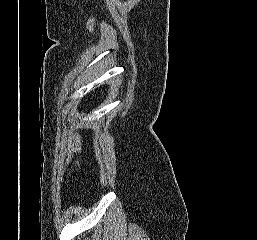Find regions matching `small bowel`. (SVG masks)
<instances>
[{"label":"small bowel","instance_id":"obj_1","mask_svg":"<svg viewBox=\"0 0 257 240\" xmlns=\"http://www.w3.org/2000/svg\"><path fill=\"white\" fill-rule=\"evenodd\" d=\"M72 147L75 152H79L81 150V143L78 138L73 141Z\"/></svg>","mask_w":257,"mask_h":240}]
</instances>
